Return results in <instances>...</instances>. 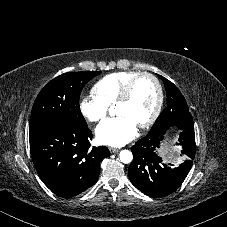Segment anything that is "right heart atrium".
<instances>
[{
  "mask_svg": "<svg viewBox=\"0 0 227 227\" xmlns=\"http://www.w3.org/2000/svg\"><path fill=\"white\" fill-rule=\"evenodd\" d=\"M79 110L85 119L97 122L106 116L108 106L95 94H89L81 98Z\"/></svg>",
  "mask_w": 227,
  "mask_h": 227,
  "instance_id": "obj_1",
  "label": "right heart atrium"
}]
</instances>
